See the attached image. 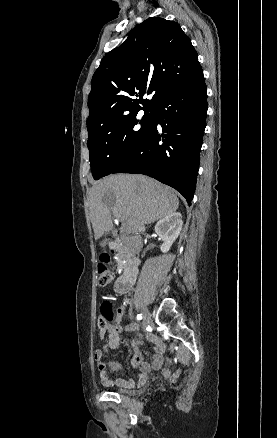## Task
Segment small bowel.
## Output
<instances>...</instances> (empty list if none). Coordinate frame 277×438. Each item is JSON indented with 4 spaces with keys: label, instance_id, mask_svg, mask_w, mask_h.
<instances>
[{
    "label": "small bowel",
    "instance_id": "c3829d8e",
    "mask_svg": "<svg viewBox=\"0 0 277 438\" xmlns=\"http://www.w3.org/2000/svg\"><path fill=\"white\" fill-rule=\"evenodd\" d=\"M124 309V306H122V310ZM137 331L138 333H141L142 331L144 333H149L150 331H153V328H150L149 326H144L143 328L141 326H138L137 328L135 325H127L126 327H109L102 330L100 337L102 339H106L105 345L103 346V350L100 347L95 348L94 353L95 357L94 360L97 362V365L99 367L98 374L101 377L104 385L108 386L111 384L110 380L108 379V371H107V365L103 357V353L108 352L109 350H114L119 346L120 342V335L123 331L125 332H133ZM148 343L154 342L153 336L147 337ZM159 347H162V344H159ZM132 350L134 353V357L132 359V364L136 366L140 370V376L137 382H135L133 379H123L118 378L116 380V384L120 387H126V388H133V387H142L147 383L148 374L151 370V366L144 363L142 360V357L140 355L141 347L138 344L133 345ZM155 355H154V366L161 368L164 365V362L162 359L163 352H159V348L155 347ZM166 365L168 367H171L173 365V362L171 360H168L166 362ZM111 371L116 372L119 369L118 364L113 363L110 366Z\"/></svg>",
    "mask_w": 277,
    "mask_h": 438
}]
</instances>
